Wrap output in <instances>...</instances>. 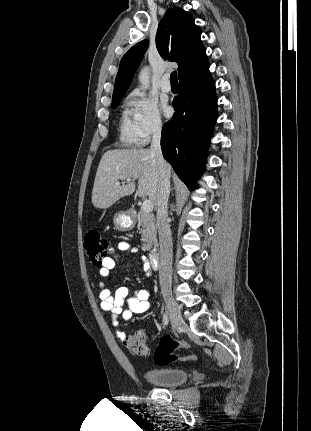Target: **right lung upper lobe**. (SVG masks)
Masks as SVG:
<instances>
[{"mask_svg": "<svg viewBox=\"0 0 311 431\" xmlns=\"http://www.w3.org/2000/svg\"><path fill=\"white\" fill-rule=\"evenodd\" d=\"M201 33L191 14L180 8L169 9L159 23L155 39L157 50L161 57L178 63L179 81L194 75L209 64L200 39ZM147 44V40L137 43L122 57L113 98L124 96Z\"/></svg>", "mask_w": 311, "mask_h": 431, "instance_id": "right-lung-upper-lobe-1", "label": "right lung upper lobe"}]
</instances>
